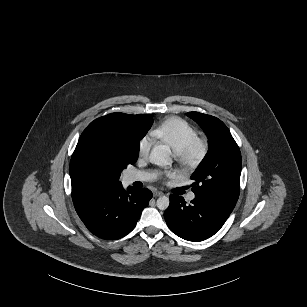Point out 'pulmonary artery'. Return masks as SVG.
<instances>
[{
	"instance_id": "1",
	"label": "pulmonary artery",
	"mask_w": 307,
	"mask_h": 307,
	"mask_svg": "<svg viewBox=\"0 0 307 307\" xmlns=\"http://www.w3.org/2000/svg\"><path fill=\"white\" fill-rule=\"evenodd\" d=\"M154 178L153 174L151 173H142V172H130L128 174V179L129 181H135V180H139V181H150ZM190 199L195 198V195L192 193L189 195Z\"/></svg>"
}]
</instances>
